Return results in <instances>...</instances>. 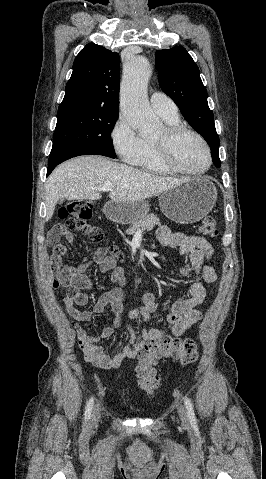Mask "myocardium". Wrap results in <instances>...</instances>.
<instances>
[{
  "label": "myocardium",
  "mask_w": 266,
  "mask_h": 479,
  "mask_svg": "<svg viewBox=\"0 0 266 479\" xmlns=\"http://www.w3.org/2000/svg\"><path fill=\"white\" fill-rule=\"evenodd\" d=\"M186 133L195 136L201 142V144L203 145L206 151L207 164L201 170H196V171L186 170L180 167L174 160V157L172 154V144L178 136L182 134H186ZM154 143L156 145L157 153L161 162L170 171L174 173L183 174V175H192V176L202 175V174H205L212 165L213 157H212L211 148L208 142L199 132H197L196 130L188 126H185L182 124L166 125L163 129L162 135L160 137L154 138Z\"/></svg>",
  "instance_id": "1"
}]
</instances>
